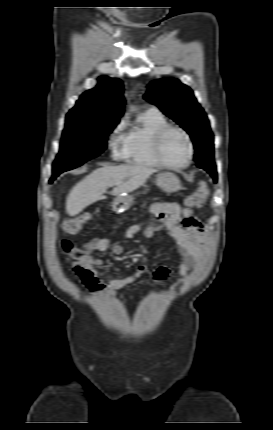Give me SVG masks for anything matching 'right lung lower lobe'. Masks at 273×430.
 <instances>
[{
  "label": "right lung lower lobe",
  "mask_w": 273,
  "mask_h": 430,
  "mask_svg": "<svg viewBox=\"0 0 273 430\" xmlns=\"http://www.w3.org/2000/svg\"><path fill=\"white\" fill-rule=\"evenodd\" d=\"M56 177L52 176V178L50 179V182H52Z\"/></svg>",
  "instance_id": "1"
}]
</instances>
